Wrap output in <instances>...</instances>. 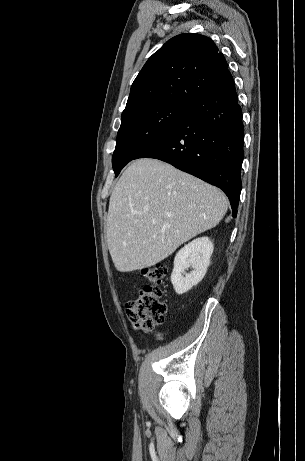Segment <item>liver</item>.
<instances>
[{
  "instance_id": "1",
  "label": "liver",
  "mask_w": 305,
  "mask_h": 461,
  "mask_svg": "<svg viewBox=\"0 0 305 461\" xmlns=\"http://www.w3.org/2000/svg\"><path fill=\"white\" fill-rule=\"evenodd\" d=\"M228 201L216 187L156 159L134 161L110 196L107 244L115 268L151 267L215 227Z\"/></svg>"
}]
</instances>
